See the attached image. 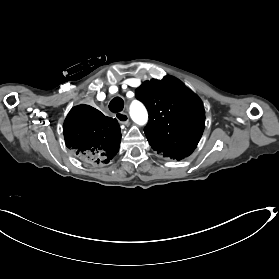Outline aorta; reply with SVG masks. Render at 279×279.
<instances>
[{"label": "aorta", "instance_id": "762f6f07", "mask_svg": "<svg viewBox=\"0 0 279 279\" xmlns=\"http://www.w3.org/2000/svg\"><path fill=\"white\" fill-rule=\"evenodd\" d=\"M130 116L137 124H144L147 120V112L144 106L134 101L130 106Z\"/></svg>", "mask_w": 279, "mask_h": 279}]
</instances>
